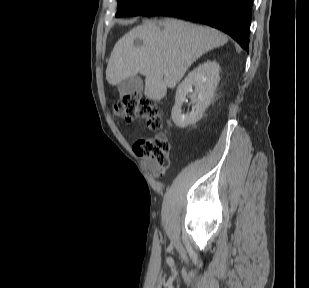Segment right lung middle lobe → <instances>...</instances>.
<instances>
[{"mask_svg":"<svg viewBox=\"0 0 309 288\" xmlns=\"http://www.w3.org/2000/svg\"><path fill=\"white\" fill-rule=\"evenodd\" d=\"M118 11L116 17L137 16L151 9L163 0H117Z\"/></svg>","mask_w":309,"mask_h":288,"instance_id":"obj_1","label":"right lung middle lobe"}]
</instances>
